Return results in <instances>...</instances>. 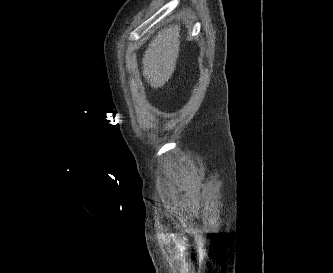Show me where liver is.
<instances>
[{"instance_id": "1", "label": "liver", "mask_w": 333, "mask_h": 273, "mask_svg": "<svg viewBox=\"0 0 333 273\" xmlns=\"http://www.w3.org/2000/svg\"><path fill=\"white\" fill-rule=\"evenodd\" d=\"M179 53V27L169 26L158 32L148 45L143 59V76L151 87L165 85L172 76Z\"/></svg>"}]
</instances>
